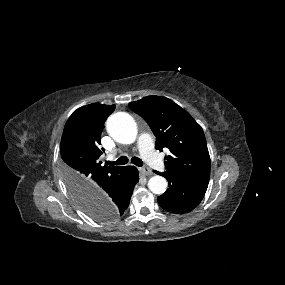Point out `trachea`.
Wrapping results in <instances>:
<instances>
[{"label":"trachea","mask_w":285,"mask_h":285,"mask_svg":"<svg viewBox=\"0 0 285 285\" xmlns=\"http://www.w3.org/2000/svg\"><path fill=\"white\" fill-rule=\"evenodd\" d=\"M129 162L128 158L126 156H121L119 159H117L116 161L110 162L107 161L106 164L110 165V166H114V165H125ZM131 162L133 164H135L138 167H141L143 165V162L140 158L138 157H132L131 158Z\"/></svg>","instance_id":"3493384b"}]
</instances>
